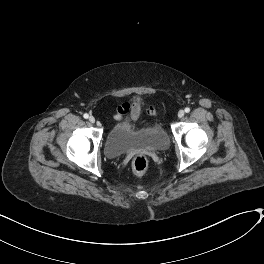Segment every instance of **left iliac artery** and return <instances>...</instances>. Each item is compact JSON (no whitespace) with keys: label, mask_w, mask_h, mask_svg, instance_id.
Wrapping results in <instances>:
<instances>
[{"label":"left iliac artery","mask_w":264,"mask_h":264,"mask_svg":"<svg viewBox=\"0 0 264 264\" xmlns=\"http://www.w3.org/2000/svg\"><path fill=\"white\" fill-rule=\"evenodd\" d=\"M185 112H186V113L190 112V108L186 107V108H185Z\"/></svg>","instance_id":"44dca946"}]
</instances>
